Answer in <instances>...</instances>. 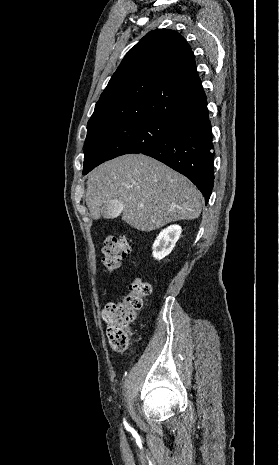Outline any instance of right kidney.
Returning a JSON list of instances; mask_svg holds the SVG:
<instances>
[{
    "instance_id": "ca27d5eb",
    "label": "right kidney",
    "mask_w": 279,
    "mask_h": 465,
    "mask_svg": "<svg viewBox=\"0 0 279 465\" xmlns=\"http://www.w3.org/2000/svg\"><path fill=\"white\" fill-rule=\"evenodd\" d=\"M182 228L179 225H171L163 229L153 244V257L161 260L173 250L176 242L179 240Z\"/></svg>"
}]
</instances>
